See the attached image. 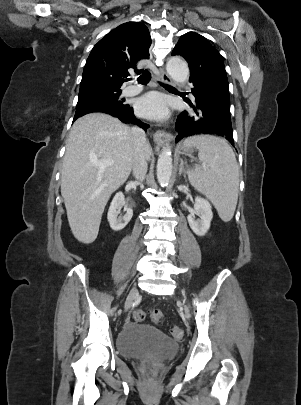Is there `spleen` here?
Here are the masks:
<instances>
[{"label": "spleen", "mask_w": 301, "mask_h": 405, "mask_svg": "<svg viewBox=\"0 0 301 405\" xmlns=\"http://www.w3.org/2000/svg\"><path fill=\"white\" fill-rule=\"evenodd\" d=\"M183 144L198 149L201 162L188 174L189 182L214 204L224 222L230 221L239 188V168L232 148L224 139L209 135L186 138Z\"/></svg>", "instance_id": "obj_1"}]
</instances>
